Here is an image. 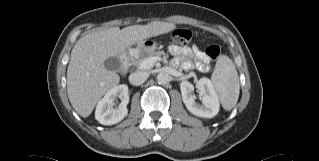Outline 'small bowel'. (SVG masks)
Instances as JSON below:
<instances>
[{"mask_svg":"<svg viewBox=\"0 0 319 161\" xmlns=\"http://www.w3.org/2000/svg\"><path fill=\"white\" fill-rule=\"evenodd\" d=\"M169 52L174 57L173 64L180 65L184 70L198 69L201 72L209 70V61L205 53L197 46H178L172 45ZM195 61H191V59Z\"/></svg>","mask_w":319,"mask_h":161,"instance_id":"small-bowel-1","label":"small bowel"}]
</instances>
